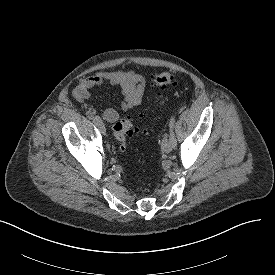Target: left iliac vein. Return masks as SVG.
Listing matches in <instances>:
<instances>
[{
  "instance_id": "1",
  "label": "left iliac vein",
  "mask_w": 275,
  "mask_h": 275,
  "mask_svg": "<svg viewBox=\"0 0 275 275\" xmlns=\"http://www.w3.org/2000/svg\"><path fill=\"white\" fill-rule=\"evenodd\" d=\"M161 148H162V150H163L164 152L169 153V152L174 148L171 139L165 137V138L162 140Z\"/></svg>"
}]
</instances>
